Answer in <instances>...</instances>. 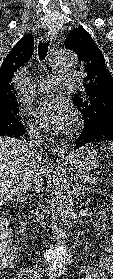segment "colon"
<instances>
[{
	"label": "colon",
	"mask_w": 113,
	"mask_h": 279,
	"mask_svg": "<svg viewBox=\"0 0 113 279\" xmlns=\"http://www.w3.org/2000/svg\"><path fill=\"white\" fill-rule=\"evenodd\" d=\"M14 254V239L9 222L0 216V262Z\"/></svg>",
	"instance_id": "1"
}]
</instances>
